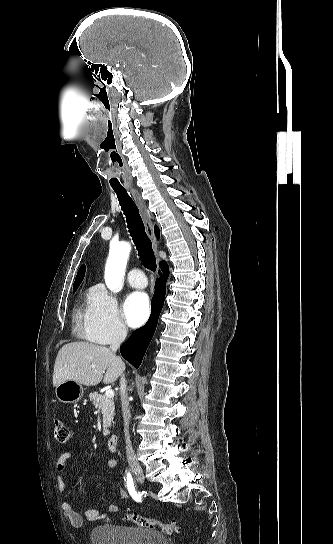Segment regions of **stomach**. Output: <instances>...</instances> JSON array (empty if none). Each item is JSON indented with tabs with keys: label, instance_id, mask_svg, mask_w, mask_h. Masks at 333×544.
Wrapping results in <instances>:
<instances>
[{
	"label": "stomach",
	"instance_id": "1",
	"mask_svg": "<svg viewBox=\"0 0 333 544\" xmlns=\"http://www.w3.org/2000/svg\"><path fill=\"white\" fill-rule=\"evenodd\" d=\"M83 393V386L74 380H66L55 388L56 399L66 404L77 403L83 397Z\"/></svg>",
	"mask_w": 333,
	"mask_h": 544
}]
</instances>
